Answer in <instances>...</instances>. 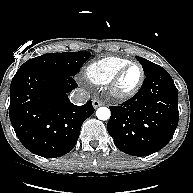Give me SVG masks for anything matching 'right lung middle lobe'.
Segmentation results:
<instances>
[{"mask_svg": "<svg viewBox=\"0 0 193 193\" xmlns=\"http://www.w3.org/2000/svg\"><path fill=\"white\" fill-rule=\"evenodd\" d=\"M89 57H91L89 52L47 53L28 60L17 73L49 71L73 77Z\"/></svg>", "mask_w": 193, "mask_h": 193, "instance_id": "dd1d6c3e", "label": "right lung middle lobe"}]
</instances>
